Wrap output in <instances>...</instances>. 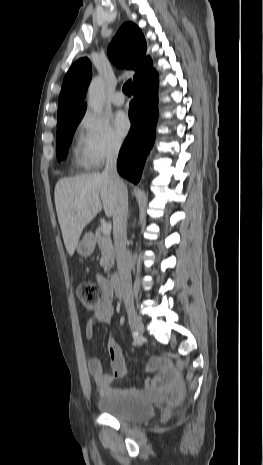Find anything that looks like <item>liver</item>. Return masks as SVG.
Wrapping results in <instances>:
<instances>
[{
    "label": "liver",
    "instance_id": "liver-1",
    "mask_svg": "<svg viewBox=\"0 0 263 465\" xmlns=\"http://www.w3.org/2000/svg\"><path fill=\"white\" fill-rule=\"evenodd\" d=\"M116 202L115 186L101 173L61 178L57 182L56 212L64 244L70 256L74 254L85 226L102 208L106 216H112Z\"/></svg>",
    "mask_w": 263,
    "mask_h": 465
}]
</instances>
